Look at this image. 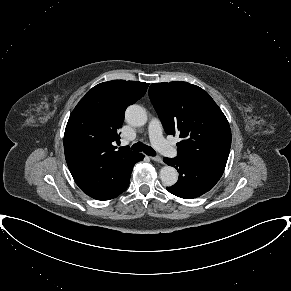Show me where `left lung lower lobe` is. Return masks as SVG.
<instances>
[{
	"mask_svg": "<svg viewBox=\"0 0 291 291\" xmlns=\"http://www.w3.org/2000/svg\"><path fill=\"white\" fill-rule=\"evenodd\" d=\"M164 162L177 169L179 179L167 190L180 198H197L214 187L222 176L225 163L192 160L185 158H164Z\"/></svg>",
	"mask_w": 291,
	"mask_h": 291,
	"instance_id": "0a47b994",
	"label": "left lung lower lobe"
}]
</instances>
